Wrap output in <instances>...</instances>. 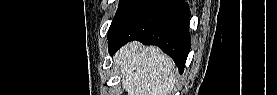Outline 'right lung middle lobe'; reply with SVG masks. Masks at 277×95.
Segmentation results:
<instances>
[{
	"mask_svg": "<svg viewBox=\"0 0 277 95\" xmlns=\"http://www.w3.org/2000/svg\"><path fill=\"white\" fill-rule=\"evenodd\" d=\"M146 0H120L118 10L111 23L109 37L128 17H130Z\"/></svg>",
	"mask_w": 277,
	"mask_h": 95,
	"instance_id": "right-lung-middle-lobe-1",
	"label": "right lung middle lobe"
}]
</instances>
